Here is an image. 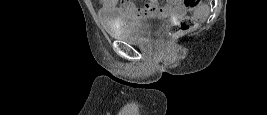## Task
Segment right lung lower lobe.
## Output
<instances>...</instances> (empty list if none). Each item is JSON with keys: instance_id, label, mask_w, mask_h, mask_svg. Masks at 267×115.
<instances>
[{"instance_id": "98d812e1", "label": "right lung lower lobe", "mask_w": 267, "mask_h": 115, "mask_svg": "<svg viewBox=\"0 0 267 115\" xmlns=\"http://www.w3.org/2000/svg\"><path fill=\"white\" fill-rule=\"evenodd\" d=\"M149 88L159 89V87H149Z\"/></svg>"}]
</instances>
